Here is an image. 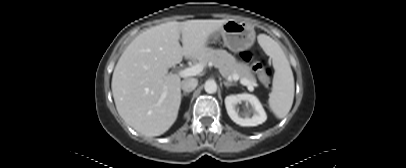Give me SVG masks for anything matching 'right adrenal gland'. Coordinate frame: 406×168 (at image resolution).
<instances>
[{"label":"right adrenal gland","instance_id":"obj_1","mask_svg":"<svg viewBox=\"0 0 406 168\" xmlns=\"http://www.w3.org/2000/svg\"><path fill=\"white\" fill-rule=\"evenodd\" d=\"M188 95H189V93L184 92L181 96L183 97V96H188Z\"/></svg>","mask_w":406,"mask_h":168}]
</instances>
